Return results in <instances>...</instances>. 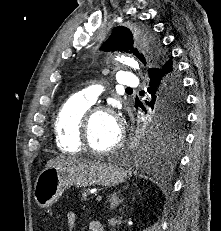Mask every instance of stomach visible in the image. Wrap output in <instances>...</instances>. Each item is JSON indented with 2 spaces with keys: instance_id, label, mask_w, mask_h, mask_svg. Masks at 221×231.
Returning a JSON list of instances; mask_svg holds the SVG:
<instances>
[{
  "instance_id": "1",
  "label": "stomach",
  "mask_w": 221,
  "mask_h": 231,
  "mask_svg": "<svg viewBox=\"0 0 221 231\" xmlns=\"http://www.w3.org/2000/svg\"><path fill=\"white\" fill-rule=\"evenodd\" d=\"M126 178L127 172L112 161L56 166L44 169L39 174L34 186V198L40 208H47L72 185L111 187L123 183Z\"/></svg>"
}]
</instances>
